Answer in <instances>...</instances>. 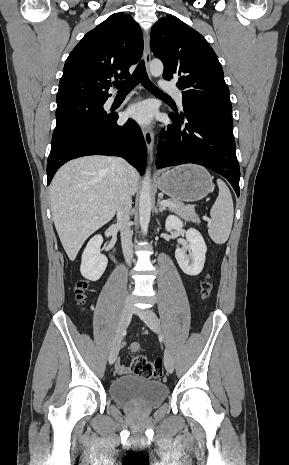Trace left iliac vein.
<instances>
[{
  "instance_id": "1",
  "label": "left iliac vein",
  "mask_w": 289,
  "mask_h": 465,
  "mask_svg": "<svg viewBox=\"0 0 289 465\" xmlns=\"http://www.w3.org/2000/svg\"><path fill=\"white\" fill-rule=\"evenodd\" d=\"M135 313L145 322V324L154 332H160V322L156 314L149 309L135 310ZM164 364L168 373L174 371V360L168 348L164 352Z\"/></svg>"
}]
</instances>
